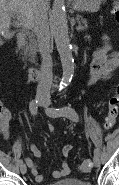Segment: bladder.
Masks as SVG:
<instances>
[{"label": "bladder", "mask_w": 119, "mask_h": 185, "mask_svg": "<svg viewBox=\"0 0 119 185\" xmlns=\"http://www.w3.org/2000/svg\"><path fill=\"white\" fill-rule=\"evenodd\" d=\"M49 185H91V183L81 179L67 178Z\"/></svg>", "instance_id": "31cf9c89"}]
</instances>
